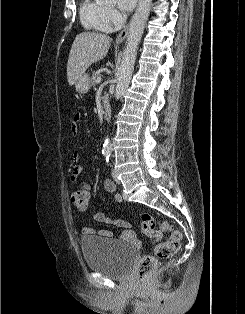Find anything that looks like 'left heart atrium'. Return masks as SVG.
I'll return each instance as SVG.
<instances>
[{
	"instance_id": "39dd6f15",
	"label": "left heart atrium",
	"mask_w": 245,
	"mask_h": 314,
	"mask_svg": "<svg viewBox=\"0 0 245 314\" xmlns=\"http://www.w3.org/2000/svg\"><path fill=\"white\" fill-rule=\"evenodd\" d=\"M137 0H116L117 7L123 12L131 11Z\"/></svg>"
}]
</instances>
